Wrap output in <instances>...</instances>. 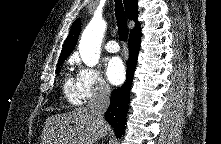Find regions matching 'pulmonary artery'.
Returning <instances> with one entry per match:
<instances>
[{"instance_id":"e3ab8cb5","label":"pulmonary artery","mask_w":221,"mask_h":144,"mask_svg":"<svg viewBox=\"0 0 221 144\" xmlns=\"http://www.w3.org/2000/svg\"><path fill=\"white\" fill-rule=\"evenodd\" d=\"M105 49L110 53L119 51V44L116 41H109L105 44Z\"/></svg>"}]
</instances>
